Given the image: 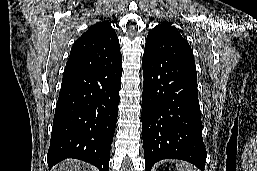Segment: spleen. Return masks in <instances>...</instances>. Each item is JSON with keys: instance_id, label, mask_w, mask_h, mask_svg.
<instances>
[{"instance_id": "obj_1", "label": "spleen", "mask_w": 257, "mask_h": 171, "mask_svg": "<svg viewBox=\"0 0 257 171\" xmlns=\"http://www.w3.org/2000/svg\"><path fill=\"white\" fill-rule=\"evenodd\" d=\"M176 166L178 168V171H199L195 169L193 165L186 162H178Z\"/></svg>"}]
</instances>
